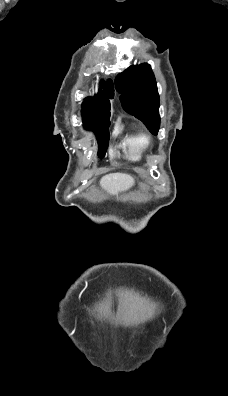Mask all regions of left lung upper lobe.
Here are the masks:
<instances>
[{"instance_id": "1", "label": "left lung upper lobe", "mask_w": 228, "mask_h": 396, "mask_svg": "<svg viewBox=\"0 0 228 396\" xmlns=\"http://www.w3.org/2000/svg\"><path fill=\"white\" fill-rule=\"evenodd\" d=\"M125 111L140 119L157 135L160 127L159 94L150 65L130 66L115 79Z\"/></svg>"}]
</instances>
